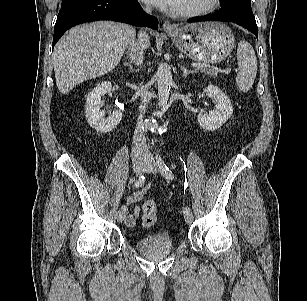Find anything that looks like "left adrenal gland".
Here are the masks:
<instances>
[{"label":"left adrenal gland","mask_w":307,"mask_h":301,"mask_svg":"<svg viewBox=\"0 0 307 301\" xmlns=\"http://www.w3.org/2000/svg\"><path fill=\"white\" fill-rule=\"evenodd\" d=\"M181 70L183 71V77L186 78L189 74L195 73V71L187 70L186 67L181 65Z\"/></svg>","instance_id":"a2214340"}]
</instances>
